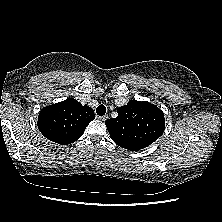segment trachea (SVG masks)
Instances as JSON below:
<instances>
[{
	"label": "trachea",
	"instance_id": "obj_1",
	"mask_svg": "<svg viewBox=\"0 0 222 222\" xmlns=\"http://www.w3.org/2000/svg\"><path fill=\"white\" fill-rule=\"evenodd\" d=\"M96 113L99 116H103L106 113V107L104 105H99L96 109Z\"/></svg>",
	"mask_w": 222,
	"mask_h": 222
}]
</instances>
